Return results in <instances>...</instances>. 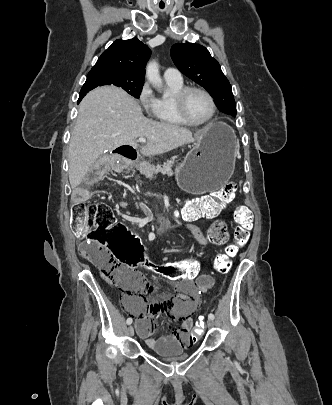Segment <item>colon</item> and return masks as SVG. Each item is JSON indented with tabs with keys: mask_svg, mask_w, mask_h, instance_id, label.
I'll use <instances>...</instances> for the list:
<instances>
[{
	"mask_svg": "<svg viewBox=\"0 0 332 405\" xmlns=\"http://www.w3.org/2000/svg\"><path fill=\"white\" fill-rule=\"evenodd\" d=\"M236 185L233 182L223 185L209 195L195 198L185 205L186 211L199 215L216 213L224 209L234 197ZM236 223L234 241L218 253L214 259V268L220 274H227L232 259L249 240L252 228V215L243 205H237L234 211ZM213 227H206V243H228L232 234L231 227H222L221 220H214ZM71 227L80 236L87 239L80 243L78 252L81 258L98 268L121 291V270L114 256H122L123 267H135L136 270H151L161 273L169 282L193 281L194 275H200V266H188L187 262H156L153 258H139L141 244L129 227L116 220L112 209L104 203H88L85 195L75 196L71 208ZM207 318L198 316L193 323L190 337L193 346L202 344L203 331Z\"/></svg>",
	"mask_w": 332,
	"mask_h": 405,
	"instance_id": "colon-1",
	"label": "colon"
}]
</instances>
